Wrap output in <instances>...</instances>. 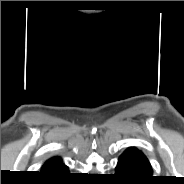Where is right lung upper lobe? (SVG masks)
I'll return each instance as SVG.
<instances>
[{
    "instance_id": "cb5924a9",
    "label": "right lung upper lobe",
    "mask_w": 184,
    "mask_h": 184,
    "mask_svg": "<svg viewBox=\"0 0 184 184\" xmlns=\"http://www.w3.org/2000/svg\"><path fill=\"white\" fill-rule=\"evenodd\" d=\"M57 159H58V157L51 158V159H49L43 166H46V165H48L49 163H51V162H53V161H55V160H57Z\"/></svg>"
}]
</instances>
